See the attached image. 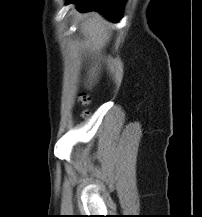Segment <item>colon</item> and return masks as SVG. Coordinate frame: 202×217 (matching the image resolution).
Listing matches in <instances>:
<instances>
[{
  "instance_id": "5ec220e1",
  "label": "colon",
  "mask_w": 202,
  "mask_h": 217,
  "mask_svg": "<svg viewBox=\"0 0 202 217\" xmlns=\"http://www.w3.org/2000/svg\"><path fill=\"white\" fill-rule=\"evenodd\" d=\"M89 102H90V98H89L88 96L82 95V96L80 97V103H81L82 105H87ZM88 114H89L88 111H84L82 115H83V117H87Z\"/></svg>"
}]
</instances>
